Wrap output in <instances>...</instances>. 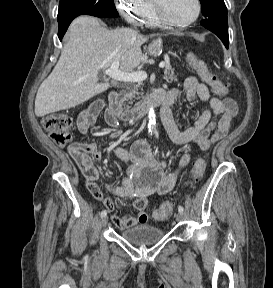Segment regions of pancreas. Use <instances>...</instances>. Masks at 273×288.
<instances>
[{
  "mask_svg": "<svg viewBox=\"0 0 273 288\" xmlns=\"http://www.w3.org/2000/svg\"><path fill=\"white\" fill-rule=\"evenodd\" d=\"M164 79L170 83L172 81H176L177 80V76L174 73V69L172 68L171 65H166L165 69H164ZM139 89L142 90V83L139 82L137 84L134 85H130L129 87H127V92L124 94L123 97V101H130V103H132L133 98L139 99V95L142 93H139Z\"/></svg>",
  "mask_w": 273,
  "mask_h": 288,
  "instance_id": "1",
  "label": "pancreas"
}]
</instances>
